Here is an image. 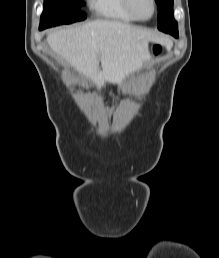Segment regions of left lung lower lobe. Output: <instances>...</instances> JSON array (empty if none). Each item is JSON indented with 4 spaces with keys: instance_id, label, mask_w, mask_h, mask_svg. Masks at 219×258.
<instances>
[{
    "instance_id": "1",
    "label": "left lung lower lobe",
    "mask_w": 219,
    "mask_h": 258,
    "mask_svg": "<svg viewBox=\"0 0 219 258\" xmlns=\"http://www.w3.org/2000/svg\"><path fill=\"white\" fill-rule=\"evenodd\" d=\"M170 35L174 36V37H178V31H171V32H168Z\"/></svg>"
}]
</instances>
